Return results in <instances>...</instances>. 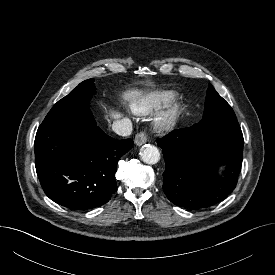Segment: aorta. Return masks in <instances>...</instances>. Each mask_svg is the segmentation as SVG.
Segmentation results:
<instances>
[{
	"label": "aorta",
	"instance_id": "obj_1",
	"mask_svg": "<svg viewBox=\"0 0 275 275\" xmlns=\"http://www.w3.org/2000/svg\"><path fill=\"white\" fill-rule=\"evenodd\" d=\"M140 158L146 164H156L160 160L159 149L151 144H145L140 149Z\"/></svg>",
	"mask_w": 275,
	"mask_h": 275
}]
</instances>
